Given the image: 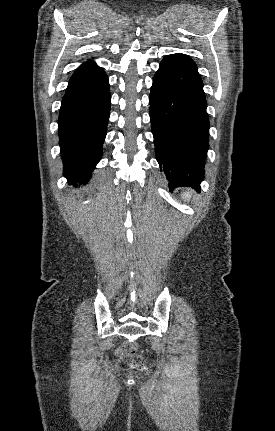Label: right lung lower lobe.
<instances>
[{
  "instance_id": "98d812e1",
  "label": "right lung lower lobe",
  "mask_w": 275,
  "mask_h": 431,
  "mask_svg": "<svg viewBox=\"0 0 275 431\" xmlns=\"http://www.w3.org/2000/svg\"><path fill=\"white\" fill-rule=\"evenodd\" d=\"M107 75L99 69L70 80L58 119L64 176L69 184H86L102 157L110 115Z\"/></svg>"
}]
</instances>
